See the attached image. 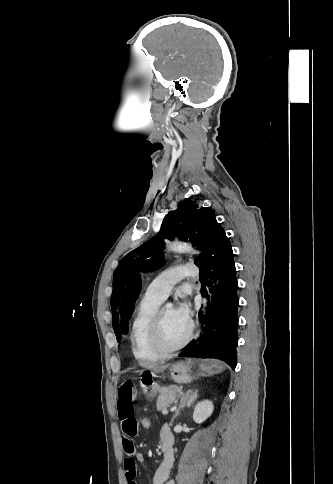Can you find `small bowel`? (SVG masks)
Wrapping results in <instances>:
<instances>
[{"label":"small bowel","mask_w":333,"mask_h":484,"mask_svg":"<svg viewBox=\"0 0 333 484\" xmlns=\"http://www.w3.org/2000/svg\"><path fill=\"white\" fill-rule=\"evenodd\" d=\"M136 396L137 389L133 382L125 381L119 386L117 416L121 424V441L124 453L126 454V458L124 460V470L127 484H137L136 464L137 462L143 463L145 461L144 455L136 450L133 441L140 430L134 407ZM159 436L162 443L168 441L171 443L172 447L173 435L169 426L164 425L160 429ZM173 460L174 455L171 449L169 459L166 460L164 458L163 462L157 468L153 477V484H175V482L170 479L169 476L171 467L173 465Z\"/></svg>","instance_id":"obj_1"}]
</instances>
